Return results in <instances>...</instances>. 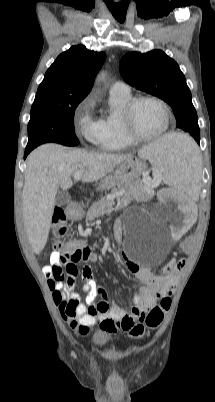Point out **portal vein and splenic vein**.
I'll use <instances>...</instances> for the list:
<instances>
[{
	"mask_svg": "<svg viewBox=\"0 0 215 402\" xmlns=\"http://www.w3.org/2000/svg\"><path fill=\"white\" fill-rule=\"evenodd\" d=\"M82 175H83V171H77V172L74 174V180H75V181H79V180L81 179ZM158 176L160 177L161 175L159 174ZM158 184H159V180H153V181H152V186H153V187L157 186ZM119 194L121 195L122 192H119Z\"/></svg>",
	"mask_w": 215,
	"mask_h": 402,
	"instance_id": "obj_1",
	"label": "portal vein and splenic vein"
}]
</instances>
